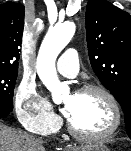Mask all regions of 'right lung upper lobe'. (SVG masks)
<instances>
[{"label": "right lung upper lobe", "mask_w": 131, "mask_h": 151, "mask_svg": "<svg viewBox=\"0 0 131 151\" xmlns=\"http://www.w3.org/2000/svg\"><path fill=\"white\" fill-rule=\"evenodd\" d=\"M24 6L14 2L0 5V68L18 69Z\"/></svg>", "instance_id": "1"}]
</instances>
